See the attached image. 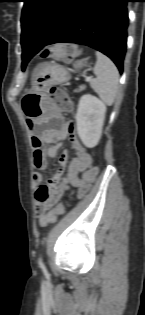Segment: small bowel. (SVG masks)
I'll list each match as a JSON object with an SVG mask.
<instances>
[{
	"label": "small bowel",
	"mask_w": 145,
	"mask_h": 315,
	"mask_svg": "<svg viewBox=\"0 0 145 315\" xmlns=\"http://www.w3.org/2000/svg\"><path fill=\"white\" fill-rule=\"evenodd\" d=\"M74 125L69 122L67 127L60 130L55 136L56 141H63L71 135V147L74 157L70 161L65 176L67 152H63L58 160V168L52 178L46 184H42L43 176L37 172L33 175V183L36 186L35 196L38 200L36 205V216L41 226L45 227L51 223L45 222V217L52 207L71 187L77 189V196L82 197L89 189L90 184L98 174V168L91 166V158L86 148L73 137ZM53 140L52 131L46 130L41 140L34 138L30 140V147H33V167L37 171H43L47 167V157L57 156L61 143L46 147L45 143Z\"/></svg>",
	"instance_id": "small-bowel-1"
}]
</instances>
